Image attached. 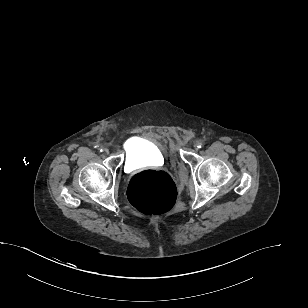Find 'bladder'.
I'll use <instances>...</instances> for the list:
<instances>
[{
	"label": "bladder",
	"mask_w": 308,
	"mask_h": 308,
	"mask_svg": "<svg viewBox=\"0 0 308 308\" xmlns=\"http://www.w3.org/2000/svg\"><path fill=\"white\" fill-rule=\"evenodd\" d=\"M165 159L162 146L145 137H135L126 146V164L142 167L163 163Z\"/></svg>",
	"instance_id": "obj_1"
}]
</instances>
